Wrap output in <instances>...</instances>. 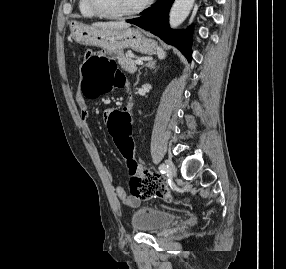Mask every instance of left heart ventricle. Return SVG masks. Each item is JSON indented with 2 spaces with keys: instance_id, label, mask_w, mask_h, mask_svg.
Wrapping results in <instances>:
<instances>
[{
  "instance_id": "b2bd125f",
  "label": "left heart ventricle",
  "mask_w": 286,
  "mask_h": 269,
  "mask_svg": "<svg viewBox=\"0 0 286 269\" xmlns=\"http://www.w3.org/2000/svg\"><path fill=\"white\" fill-rule=\"evenodd\" d=\"M100 6L110 13H123L140 6L145 0H98Z\"/></svg>"
}]
</instances>
